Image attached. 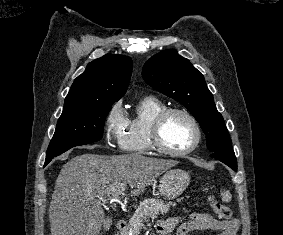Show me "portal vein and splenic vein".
I'll use <instances>...</instances> for the list:
<instances>
[{
    "label": "portal vein and splenic vein",
    "mask_w": 283,
    "mask_h": 235,
    "mask_svg": "<svg viewBox=\"0 0 283 235\" xmlns=\"http://www.w3.org/2000/svg\"><path fill=\"white\" fill-rule=\"evenodd\" d=\"M126 190V186L125 185H121L120 187H118L114 193L112 194V196L110 197L111 201H120V195L124 193V191ZM103 202H106V199L102 200Z\"/></svg>",
    "instance_id": "18ae733b"
}]
</instances>
